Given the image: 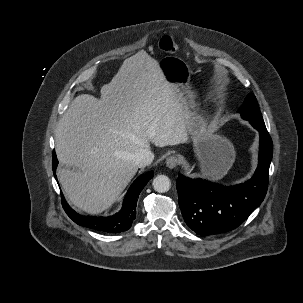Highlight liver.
Wrapping results in <instances>:
<instances>
[{
	"mask_svg": "<svg viewBox=\"0 0 303 303\" xmlns=\"http://www.w3.org/2000/svg\"><path fill=\"white\" fill-rule=\"evenodd\" d=\"M182 95L144 50L127 58L101 99L77 96L55 130L57 172L66 198L89 214L108 209L136 174L141 149L189 142Z\"/></svg>",
	"mask_w": 303,
	"mask_h": 303,
	"instance_id": "1",
	"label": "liver"
}]
</instances>
